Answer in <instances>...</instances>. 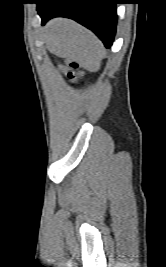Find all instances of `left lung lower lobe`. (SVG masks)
<instances>
[{
  "instance_id": "0a47b994",
  "label": "left lung lower lobe",
  "mask_w": 166,
  "mask_h": 267,
  "mask_svg": "<svg viewBox=\"0 0 166 267\" xmlns=\"http://www.w3.org/2000/svg\"><path fill=\"white\" fill-rule=\"evenodd\" d=\"M35 3L42 25L53 17L71 18L92 30L106 48L112 45L118 0H36Z\"/></svg>"
}]
</instances>
